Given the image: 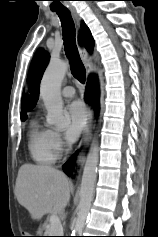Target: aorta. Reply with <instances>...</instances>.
<instances>
[{
    "mask_svg": "<svg viewBox=\"0 0 158 237\" xmlns=\"http://www.w3.org/2000/svg\"><path fill=\"white\" fill-rule=\"evenodd\" d=\"M68 68V64L60 60H52L44 72L40 83V96L47 109V123L58 128L68 125V120L63 114V101L61 97V84ZM99 148L93 143L85 162L81 187L80 203L74 234L81 232L89 215L91 202L94 197Z\"/></svg>",
    "mask_w": 158,
    "mask_h": 237,
    "instance_id": "obj_1",
    "label": "aorta"
}]
</instances>
